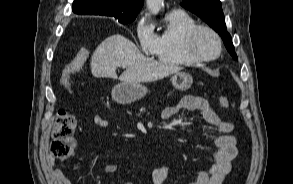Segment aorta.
<instances>
[{
  "label": "aorta",
  "mask_w": 293,
  "mask_h": 184,
  "mask_svg": "<svg viewBox=\"0 0 293 184\" xmlns=\"http://www.w3.org/2000/svg\"><path fill=\"white\" fill-rule=\"evenodd\" d=\"M163 1L164 0H146V5L148 10L152 13V14H158L162 5H163Z\"/></svg>",
  "instance_id": "762f6f07"
}]
</instances>
